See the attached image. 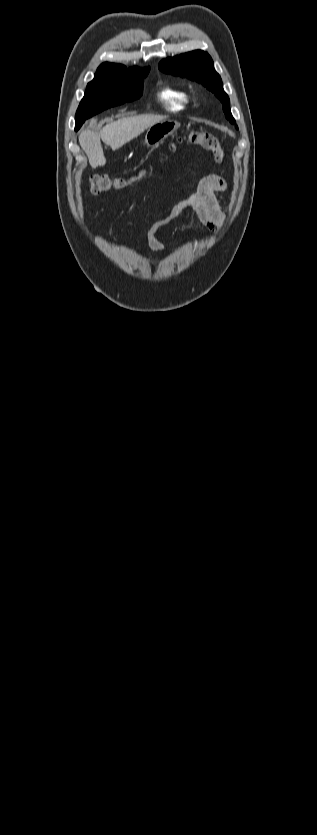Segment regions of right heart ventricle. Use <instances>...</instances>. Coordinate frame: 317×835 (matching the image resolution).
<instances>
[{
  "label": "right heart ventricle",
  "mask_w": 317,
  "mask_h": 835,
  "mask_svg": "<svg viewBox=\"0 0 317 835\" xmlns=\"http://www.w3.org/2000/svg\"><path fill=\"white\" fill-rule=\"evenodd\" d=\"M158 98L163 103L165 108L172 112L184 110L190 103L189 93L174 85H166L158 92Z\"/></svg>",
  "instance_id": "obj_1"
}]
</instances>
